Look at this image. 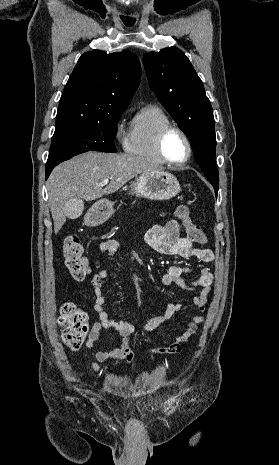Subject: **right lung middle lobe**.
I'll return each instance as SVG.
<instances>
[{
  "mask_svg": "<svg viewBox=\"0 0 279 465\" xmlns=\"http://www.w3.org/2000/svg\"><path fill=\"white\" fill-rule=\"evenodd\" d=\"M125 109L112 110L99 121L72 122L56 126L46 166L58 165L87 151L116 152L117 123Z\"/></svg>",
  "mask_w": 279,
  "mask_h": 465,
  "instance_id": "right-lung-middle-lobe-1",
  "label": "right lung middle lobe"
}]
</instances>
